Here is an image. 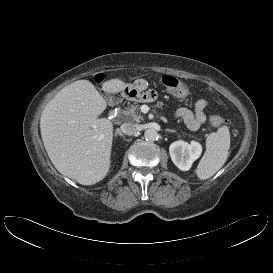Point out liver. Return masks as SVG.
I'll return each instance as SVG.
<instances>
[{
  "label": "liver",
  "mask_w": 273,
  "mask_h": 273,
  "mask_svg": "<svg viewBox=\"0 0 273 273\" xmlns=\"http://www.w3.org/2000/svg\"><path fill=\"white\" fill-rule=\"evenodd\" d=\"M127 84L110 79L102 84L108 94ZM107 102L88 80L61 89L45 106L40 118L43 144L54 167L82 185L103 180L111 164L113 124L98 118Z\"/></svg>",
  "instance_id": "obj_1"
}]
</instances>
